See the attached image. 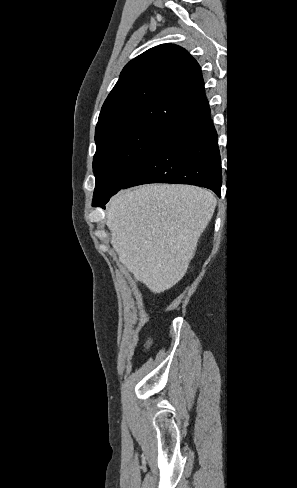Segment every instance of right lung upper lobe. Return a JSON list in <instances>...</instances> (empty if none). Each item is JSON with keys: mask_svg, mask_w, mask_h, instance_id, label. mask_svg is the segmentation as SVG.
I'll return each mask as SVG.
<instances>
[{"mask_svg": "<svg viewBox=\"0 0 297 488\" xmlns=\"http://www.w3.org/2000/svg\"><path fill=\"white\" fill-rule=\"evenodd\" d=\"M208 109L197 61L178 45L162 44L124 67L102 106L95 142L134 127L173 129Z\"/></svg>", "mask_w": 297, "mask_h": 488, "instance_id": "cb5924a9", "label": "right lung upper lobe"}]
</instances>
